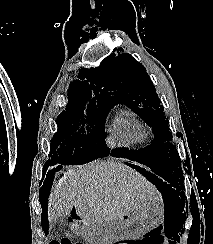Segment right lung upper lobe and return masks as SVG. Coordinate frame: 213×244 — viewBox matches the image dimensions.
Wrapping results in <instances>:
<instances>
[{"instance_id": "1", "label": "right lung upper lobe", "mask_w": 213, "mask_h": 244, "mask_svg": "<svg viewBox=\"0 0 213 244\" xmlns=\"http://www.w3.org/2000/svg\"><path fill=\"white\" fill-rule=\"evenodd\" d=\"M95 69H82L78 80L69 85L68 105L66 108H86L91 110L109 111V105L100 98L95 82Z\"/></svg>"}]
</instances>
